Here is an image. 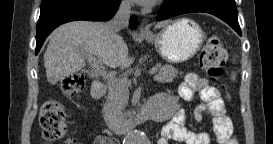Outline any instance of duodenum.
<instances>
[{"instance_id":"obj_1","label":"duodenum","mask_w":273,"mask_h":144,"mask_svg":"<svg viewBox=\"0 0 273 144\" xmlns=\"http://www.w3.org/2000/svg\"><path fill=\"white\" fill-rule=\"evenodd\" d=\"M92 96L100 98L105 93V86L100 81H95L91 90ZM170 101L165 94H157L153 96L147 103L140 106L135 114L118 125L117 132L119 134H126L135 126L145 120L163 121L167 117V109Z\"/></svg>"}]
</instances>
